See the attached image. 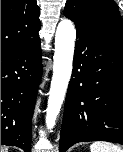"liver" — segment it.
Segmentation results:
<instances>
[{
	"label": "liver",
	"mask_w": 123,
	"mask_h": 152,
	"mask_svg": "<svg viewBox=\"0 0 123 152\" xmlns=\"http://www.w3.org/2000/svg\"><path fill=\"white\" fill-rule=\"evenodd\" d=\"M1 152H8V147L1 146Z\"/></svg>",
	"instance_id": "1"
}]
</instances>
